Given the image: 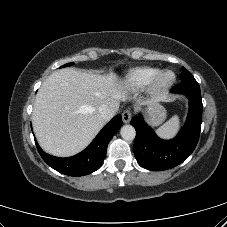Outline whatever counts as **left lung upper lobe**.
<instances>
[{
	"instance_id": "1",
	"label": "left lung upper lobe",
	"mask_w": 227,
	"mask_h": 227,
	"mask_svg": "<svg viewBox=\"0 0 227 227\" xmlns=\"http://www.w3.org/2000/svg\"><path fill=\"white\" fill-rule=\"evenodd\" d=\"M192 77H193L192 74L187 69L182 67L181 80H185L187 78H192Z\"/></svg>"
}]
</instances>
